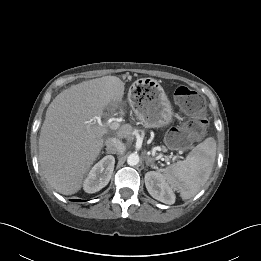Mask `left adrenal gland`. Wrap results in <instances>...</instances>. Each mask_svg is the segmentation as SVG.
<instances>
[{"label":"left adrenal gland","mask_w":261,"mask_h":261,"mask_svg":"<svg viewBox=\"0 0 261 261\" xmlns=\"http://www.w3.org/2000/svg\"><path fill=\"white\" fill-rule=\"evenodd\" d=\"M146 166H151L152 168H156L153 159L150 158L149 156L146 157Z\"/></svg>","instance_id":"left-adrenal-gland-1"}]
</instances>
